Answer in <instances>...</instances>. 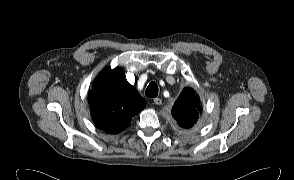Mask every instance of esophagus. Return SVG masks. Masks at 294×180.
Instances as JSON below:
<instances>
[{
    "label": "esophagus",
    "mask_w": 294,
    "mask_h": 180,
    "mask_svg": "<svg viewBox=\"0 0 294 180\" xmlns=\"http://www.w3.org/2000/svg\"><path fill=\"white\" fill-rule=\"evenodd\" d=\"M153 102L155 105H161L162 104V100L160 98H154Z\"/></svg>",
    "instance_id": "obj_1"
}]
</instances>
